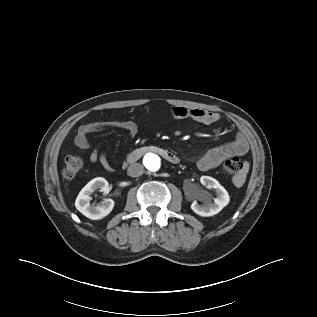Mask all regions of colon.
I'll return each instance as SVG.
<instances>
[{"label":"colon","mask_w":317,"mask_h":317,"mask_svg":"<svg viewBox=\"0 0 317 317\" xmlns=\"http://www.w3.org/2000/svg\"><path fill=\"white\" fill-rule=\"evenodd\" d=\"M82 167L83 162L80 157L69 155L64 160V176L72 179L80 172ZM223 170L229 175L240 176L244 171V165L238 158L231 157L223 163Z\"/></svg>","instance_id":"colon-1"}]
</instances>
